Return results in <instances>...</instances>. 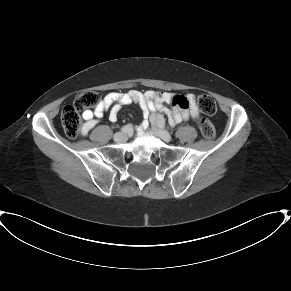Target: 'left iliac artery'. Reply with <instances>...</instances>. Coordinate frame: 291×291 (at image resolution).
<instances>
[{
	"label": "left iliac artery",
	"mask_w": 291,
	"mask_h": 291,
	"mask_svg": "<svg viewBox=\"0 0 291 291\" xmlns=\"http://www.w3.org/2000/svg\"><path fill=\"white\" fill-rule=\"evenodd\" d=\"M159 122H160L161 126H164V119L163 118H160Z\"/></svg>",
	"instance_id": "left-iliac-artery-1"
}]
</instances>
